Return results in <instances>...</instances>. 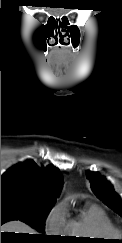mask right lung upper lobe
<instances>
[{"label":"right lung upper lobe","mask_w":122,"mask_h":243,"mask_svg":"<svg viewBox=\"0 0 122 243\" xmlns=\"http://www.w3.org/2000/svg\"><path fill=\"white\" fill-rule=\"evenodd\" d=\"M63 178L53 165L39 167L34 161L21 162L1 176V197L11 196L29 201L54 204Z\"/></svg>","instance_id":"1"}]
</instances>
